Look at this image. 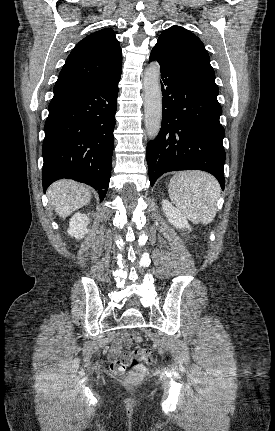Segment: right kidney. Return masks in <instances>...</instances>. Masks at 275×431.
Masks as SVG:
<instances>
[{
  "label": "right kidney",
  "instance_id": "1",
  "mask_svg": "<svg viewBox=\"0 0 275 431\" xmlns=\"http://www.w3.org/2000/svg\"><path fill=\"white\" fill-rule=\"evenodd\" d=\"M88 223L89 219L86 215L81 213L74 214L69 222L68 235L76 239L84 238V235L87 233Z\"/></svg>",
  "mask_w": 275,
  "mask_h": 431
}]
</instances>
